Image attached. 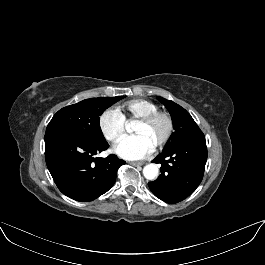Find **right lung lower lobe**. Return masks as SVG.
Listing matches in <instances>:
<instances>
[{
  "label": "right lung lower lobe",
  "mask_w": 265,
  "mask_h": 265,
  "mask_svg": "<svg viewBox=\"0 0 265 265\" xmlns=\"http://www.w3.org/2000/svg\"><path fill=\"white\" fill-rule=\"evenodd\" d=\"M104 139L94 140L70 131L45 133V159L50 174L66 196L88 202L107 192L125 161L116 155L96 157L108 148Z\"/></svg>",
  "instance_id": "right-lung-lower-lobe-1"
}]
</instances>
